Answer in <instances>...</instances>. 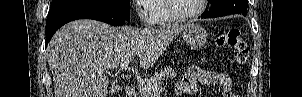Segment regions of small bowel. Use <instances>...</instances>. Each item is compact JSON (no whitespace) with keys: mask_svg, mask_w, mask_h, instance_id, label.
Here are the masks:
<instances>
[{"mask_svg":"<svg viewBox=\"0 0 302 97\" xmlns=\"http://www.w3.org/2000/svg\"><path fill=\"white\" fill-rule=\"evenodd\" d=\"M200 85L215 87L220 97H236L232 90L231 80L226 74L205 70L198 66H191L186 70L177 83L175 92L179 97L182 94L195 95Z\"/></svg>","mask_w":302,"mask_h":97,"instance_id":"1","label":"small bowel"}]
</instances>
